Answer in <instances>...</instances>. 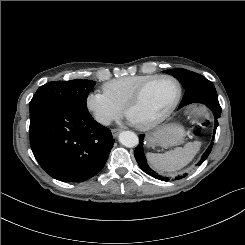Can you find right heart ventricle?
Masks as SVG:
<instances>
[{
	"instance_id": "1",
	"label": "right heart ventricle",
	"mask_w": 245,
	"mask_h": 245,
	"mask_svg": "<svg viewBox=\"0 0 245 245\" xmlns=\"http://www.w3.org/2000/svg\"><path fill=\"white\" fill-rule=\"evenodd\" d=\"M154 75L123 76L106 82L103 85L104 93L117 105L124 108L134 91L146 80Z\"/></svg>"
}]
</instances>
